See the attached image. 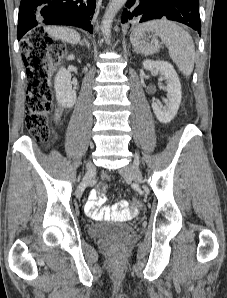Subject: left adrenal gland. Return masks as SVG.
Listing matches in <instances>:
<instances>
[{"mask_svg": "<svg viewBox=\"0 0 227 298\" xmlns=\"http://www.w3.org/2000/svg\"><path fill=\"white\" fill-rule=\"evenodd\" d=\"M133 52L136 53V54L138 53L136 49H134Z\"/></svg>", "mask_w": 227, "mask_h": 298, "instance_id": "1", "label": "left adrenal gland"}]
</instances>
